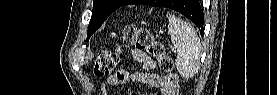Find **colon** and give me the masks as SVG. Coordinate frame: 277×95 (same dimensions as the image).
Masks as SVG:
<instances>
[{
    "instance_id": "colon-1",
    "label": "colon",
    "mask_w": 277,
    "mask_h": 95,
    "mask_svg": "<svg viewBox=\"0 0 277 95\" xmlns=\"http://www.w3.org/2000/svg\"><path fill=\"white\" fill-rule=\"evenodd\" d=\"M111 37L120 45L102 50L97 54L94 66L96 76H108L117 68L122 47L134 48L156 57L164 74H169L174 70L173 58L167 54L164 45L149 30L143 27L126 26L112 33Z\"/></svg>"
}]
</instances>
